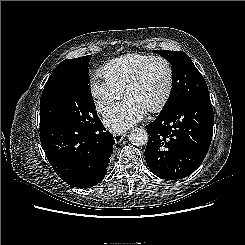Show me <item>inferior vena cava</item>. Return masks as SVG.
Instances as JSON below:
<instances>
[{
  "label": "inferior vena cava",
  "instance_id": "inferior-vena-cava-1",
  "mask_svg": "<svg viewBox=\"0 0 245 245\" xmlns=\"http://www.w3.org/2000/svg\"><path fill=\"white\" fill-rule=\"evenodd\" d=\"M100 108H102V105L101 104H99V106H98V109H100Z\"/></svg>",
  "mask_w": 245,
  "mask_h": 245
}]
</instances>
